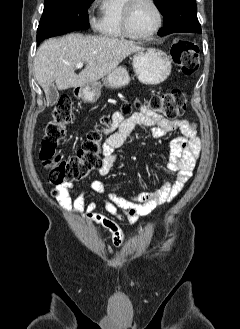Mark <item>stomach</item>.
Listing matches in <instances>:
<instances>
[{
	"instance_id": "1",
	"label": "stomach",
	"mask_w": 240,
	"mask_h": 329,
	"mask_svg": "<svg viewBox=\"0 0 240 329\" xmlns=\"http://www.w3.org/2000/svg\"><path fill=\"white\" fill-rule=\"evenodd\" d=\"M133 69L138 80L145 85H157L167 79L171 72V60L168 55L155 48L136 52L132 60ZM130 77L124 67H117L103 82H93L79 88V97L88 103L96 102L103 86L115 89L127 85Z\"/></svg>"
}]
</instances>
